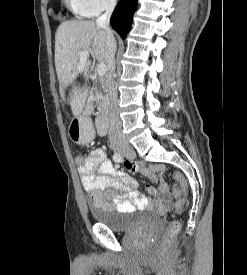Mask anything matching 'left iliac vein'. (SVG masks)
<instances>
[{
	"label": "left iliac vein",
	"mask_w": 247,
	"mask_h": 275,
	"mask_svg": "<svg viewBox=\"0 0 247 275\" xmlns=\"http://www.w3.org/2000/svg\"><path fill=\"white\" fill-rule=\"evenodd\" d=\"M123 155L126 157V158H134L135 157V153L133 151V149L131 147H128L126 148L124 151H123Z\"/></svg>",
	"instance_id": "left-iliac-vein-1"
}]
</instances>
